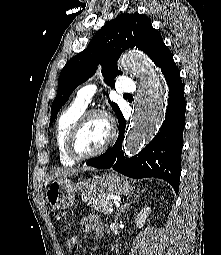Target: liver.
<instances>
[{"instance_id": "1", "label": "liver", "mask_w": 221, "mask_h": 255, "mask_svg": "<svg viewBox=\"0 0 221 255\" xmlns=\"http://www.w3.org/2000/svg\"><path fill=\"white\" fill-rule=\"evenodd\" d=\"M85 170H90V168L86 167ZM80 172V169L75 168H60L57 169L52 176L49 177V179L46 181V185L52 180L56 178H66L69 176L76 175Z\"/></svg>"}]
</instances>
